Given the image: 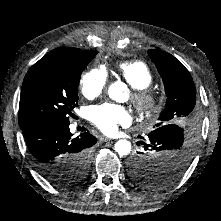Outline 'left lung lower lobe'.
Listing matches in <instances>:
<instances>
[{
    "label": "left lung lower lobe",
    "instance_id": "left-lung-lower-lobe-1",
    "mask_svg": "<svg viewBox=\"0 0 221 221\" xmlns=\"http://www.w3.org/2000/svg\"><path fill=\"white\" fill-rule=\"evenodd\" d=\"M146 164L141 159V156L137 153L129 161V171L131 172H140L144 169Z\"/></svg>",
    "mask_w": 221,
    "mask_h": 221
}]
</instances>
